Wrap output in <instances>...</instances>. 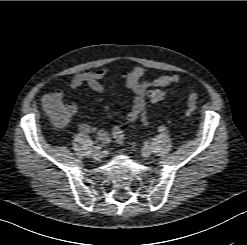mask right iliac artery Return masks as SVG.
I'll return each mask as SVG.
<instances>
[{"label": "right iliac artery", "instance_id": "right-iliac-artery-1", "mask_svg": "<svg viewBox=\"0 0 247 245\" xmlns=\"http://www.w3.org/2000/svg\"><path fill=\"white\" fill-rule=\"evenodd\" d=\"M102 145L98 144L94 147V151H99L101 149Z\"/></svg>", "mask_w": 247, "mask_h": 245}]
</instances>
